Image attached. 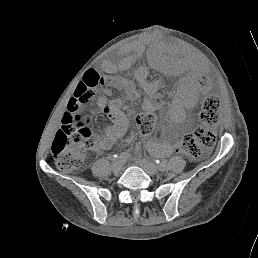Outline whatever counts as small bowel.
Returning <instances> with one entry per match:
<instances>
[{"instance_id":"c3829d8e","label":"small bowel","mask_w":258,"mask_h":258,"mask_svg":"<svg viewBox=\"0 0 258 258\" xmlns=\"http://www.w3.org/2000/svg\"><path fill=\"white\" fill-rule=\"evenodd\" d=\"M140 50L136 49V53H139ZM135 60V55L130 54L126 56L124 59L121 61V66L122 67H127L131 66L134 63ZM193 75L198 74L197 69L192 70ZM95 107L98 111L102 112L106 117H108L110 120L114 121L113 126H109L105 128L102 132V137L100 139L99 145L97 147V150H108L110 149L117 140L124 134V127L123 125L119 122V120L116 119V114L113 111V109L106 103L105 99L102 97H99L95 101ZM148 145L156 151H161L162 148L169 149V144L168 143H159L155 142L153 140H147Z\"/></svg>"}]
</instances>
